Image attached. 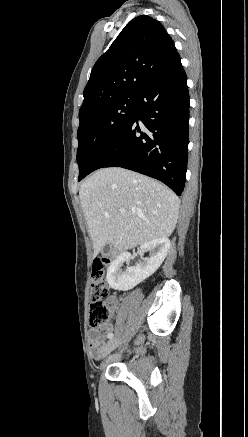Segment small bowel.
Masks as SVG:
<instances>
[{
	"label": "small bowel",
	"mask_w": 248,
	"mask_h": 437,
	"mask_svg": "<svg viewBox=\"0 0 248 437\" xmlns=\"http://www.w3.org/2000/svg\"><path fill=\"white\" fill-rule=\"evenodd\" d=\"M112 303H116V299L112 298ZM105 329L107 331H111L112 330V326L111 325H106ZM112 333V332H109ZM108 333V334H109ZM89 340H90V347L93 351V354L95 356H99L102 352H103V348H104V338L102 336V334L100 333L99 330L97 329H93L89 332Z\"/></svg>",
	"instance_id": "1"
}]
</instances>
